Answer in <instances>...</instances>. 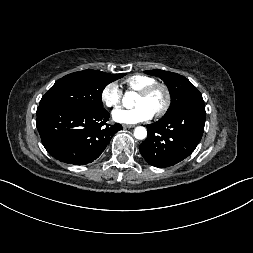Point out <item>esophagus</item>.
Instances as JSON below:
<instances>
[{"mask_svg":"<svg viewBox=\"0 0 253 253\" xmlns=\"http://www.w3.org/2000/svg\"><path fill=\"white\" fill-rule=\"evenodd\" d=\"M133 127H135V125H130V124H124V125H123V128H124V129L133 128Z\"/></svg>","mask_w":253,"mask_h":253,"instance_id":"34e87169","label":"esophagus"}]
</instances>
